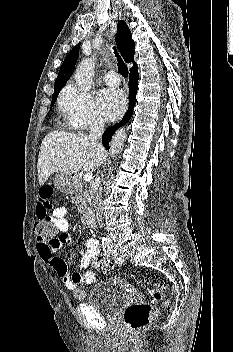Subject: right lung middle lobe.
I'll return each instance as SVG.
<instances>
[{
	"instance_id": "dd1d6c3e",
	"label": "right lung middle lobe",
	"mask_w": 233,
	"mask_h": 352,
	"mask_svg": "<svg viewBox=\"0 0 233 352\" xmlns=\"http://www.w3.org/2000/svg\"><path fill=\"white\" fill-rule=\"evenodd\" d=\"M60 90H61V89L56 90V91L54 92V94L52 95L51 107L55 104V101H56V99H57V96H58Z\"/></svg>"
}]
</instances>
